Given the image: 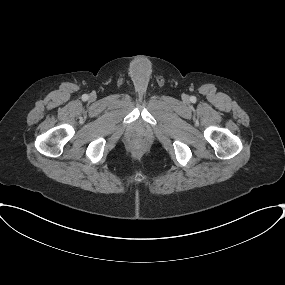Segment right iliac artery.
Instances as JSON below:
<instances>
[{
	"label": "right iliac artery",
	"instance_id": "obj_1",
	"mask_svg": "<svg viewBox=\"0 0 285 285\" xmlns=\"http://www.w3.org/2000/svg\"><path fill=\"white\" fill-rule=\"evenodd\" d=\"M82 99H83V100H87V99H88V95H87V94H84V95L82 96Z\"/></svg>",
	"mask_w": 285,
	"mask_h": 285
}]
</instances>
